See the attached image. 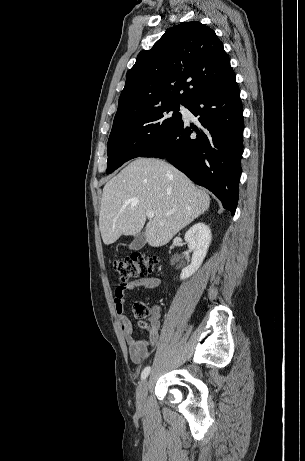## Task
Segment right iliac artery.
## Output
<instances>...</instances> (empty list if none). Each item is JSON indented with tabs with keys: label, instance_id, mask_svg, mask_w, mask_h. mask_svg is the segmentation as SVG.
Returning a JSON list of instances; mask_svg holds the SVG:
<instances>
[{
	"label": "right iliac artery",
	"instance_id": "1",
	"mask_svg": "<svg viewBox=\"0 0 305 461\" xmlns=\"http://www.w3.org/2000/svg\"><path fill=\"white\" fill-rule=\"evenodd\" d=\"M150 366H147L143 369L142 373H141V379L144 380L146 379V377L149 375L150 373Z\"/></svg>",
	"mask_w": 305,
	"mask_h": 461
}]
</instances>
